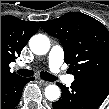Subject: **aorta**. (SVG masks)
<instances>
[{
  "mask_svg": "<svg viewBox=\"0 0 109 109\" xmlns=\"http://www.w3.org/2000/svg\"><path fill=\"white\" fill-rule=\"evenodd\" d=\"M31 51L36 55H45L50 49V40L46 35L36 34L29 41ZM61 96L60 88L57 85H48L45 88V97L49 101H57Z\"/></svg>",
  "mask_w": 109,
  "mask_h": 109,
  "instance_id": "1",
  "label": "aorta"
}]
</instances>
